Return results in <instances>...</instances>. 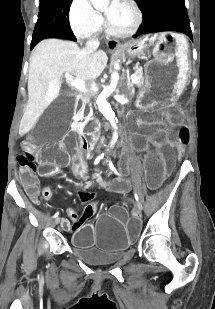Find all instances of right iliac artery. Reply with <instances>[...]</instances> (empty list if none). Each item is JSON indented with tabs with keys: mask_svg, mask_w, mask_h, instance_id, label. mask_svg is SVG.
<instances>
[{
	"mask_svg": "<svg viewBox=\"0 0 215 309\" xmlns=\"http://www.w3.org/2000/svg\"><path fill=\"white\" fill-rule=\"evenodd\" d=\"M103 157H104V153H102L95 159L94 164H98L100 160L103 159ZM58 215H59V212L55 213L54 218L58 217Z\"/></svg>",
	"mask_w": 215,
	"mask_h": 309,
	"instance_id": "obj_1",
	"label": "right iliac artery"
}]
</instances>
